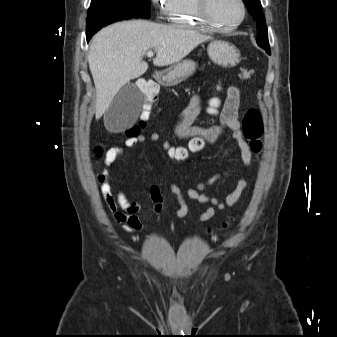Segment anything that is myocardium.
<instances>
[{"label": "myocardium", "mask_w": 337, "mask_h": 337, "mask_svg": "<svg viewBox=\"0 0 337 337\" xmlns=\"http://www.w3.org/2000/svg\"><path fill=\"white\" fill-rule=\"evenodd\" d=\"M197 2V9H198V13L201 17V19L208 25L210 26L212 29L216 30V31H231L234 30L236 28H238L245 20L246 15H247V6L244 0H238L240 6H241V10H242V14L240 19L230 25H224L221 24L219 22H217L214 17L211 14V10H210V4H211V0H196Z\"/></svg>", "instance_id": "obj_1"}]
</instances>
